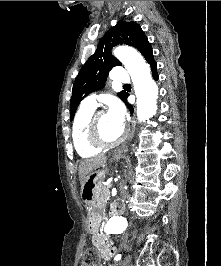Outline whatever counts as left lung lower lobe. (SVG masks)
Listing matches in <instances>:
<instances>
[{
    "mask_svg": "<svg viewBox=\"0 0 221 266\" xmlns=\"http://www.w3.org/2000/svg\"><path fill=\"white\" fill-rule=\"evenodd\" d=\"M150 65H151V70H152L153 78H154L155 80H157V79H158V74H157V64H156L155 61H153V62L150 63ZM127 97H128V94L126 95V98H125V100H124V103L126 104V106L128 107V109H129L130 112L132 113V112H133V107H132L129 103H127V100H126Z\"/></svg>",
    "mask_w": 221,
    "mask_h": 266,
    "instance_id": "0a47b994",
    "label": "left lung lower lobe"
}]
</instances>
